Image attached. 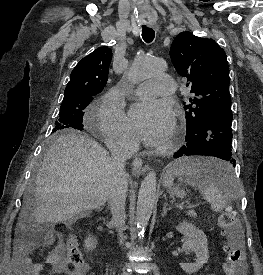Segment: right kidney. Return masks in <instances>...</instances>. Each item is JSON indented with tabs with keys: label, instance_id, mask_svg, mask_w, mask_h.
I'll list each match as a JSON object with an SVG mask.
<instances>
[{
	"label": "right kidney",
	"instance_id": "1",
	"mask_svg": "<svg viewBox=\"0 0 263 275\" xmlns=\"http://www.w3.org/2000/svg\"><path fill=\"white\" fill-rule=\"evenodd\" d=\"M85 248L88 250V251H92L93 249L96 248V245H97V239L91 235H89L85 241Z\"/></svg>",
	"mask_w": 263,
	"mask_h": 275
}]
</instances>
